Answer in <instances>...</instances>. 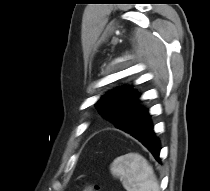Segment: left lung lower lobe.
Segmentation results:
<instances>
[{"instance_id":"0a47b994","label":"left lung lower lobe","mask_w":210,"mask_h":191,"mask_svg":"<svg viewBox=\"0 0 210 191\" xmlns=\"http://www.w3.org/2000/svg\"><path fill=\"white\" fill-rule=\"evenodd\" d=\"M132 116V119L138 120V125L135 130L129 134L138 139L152 153L154 158L161 163L159 158V152L161 149L160 142L153 132V125L148 110L138 107L134 113L131 114V117Z\"/></svg>"}]
</instances>
